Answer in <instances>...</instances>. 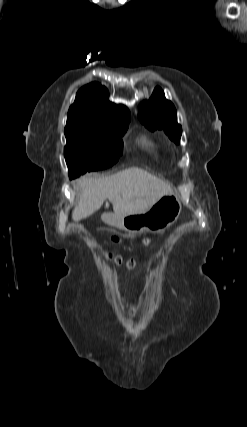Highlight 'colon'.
Wrapping results in <instances>:
<instances>
[{"label":"colon","mask_w":247,"mask_h":427,"mask_svg":"<svg viewBox=\"0 0 247 427\" xmlns=\"http://www.w3.org/2000/svg\"><path fill=\"white\" fill-rule=\"evenodd\" d=\"M108 259L112 261L117 266L125 265L128 270H133L136 267V263L133 260L124 261L123 258L119 255H115L112 253L108 254Z\"/></svg>","instance_id":"5ec220e1"}]
</instances>
